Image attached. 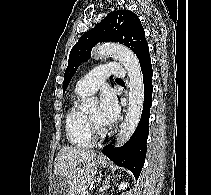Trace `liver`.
Segmentation results:
<instances>
[{
    "label": "liver",
    "mask_w": 211,
    "mask_h": 195,
    "mask_svg": "<svg viewBox=\"0 0 211 195\" xmlns=\"http://www.w3.org/2000/svg\"><path fill=\"white\" fill-rule=\"evenodd\" d=\"M97 158L92 150L72 146L61 148L55 158L54 174L66 181L68 191L67 194L65 190L58 191L59 194L78 195L85 191L96 175Z\"/></svg>",
    "instance_id": "1"
}]
</instances>
